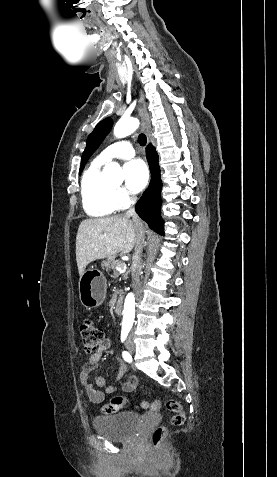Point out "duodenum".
Returning <instances> with one entry per match:
<instances>
[{
	"label": "duodenum",
	"instance_id": "410a0bca",
	"mask_svg": "<svg viewBox=\"0 0 277 477\" xmlns=\"http://www.w3.org/2000/svg\"><path fill=\"white\" fill-rule=\"evenodd\" d=\"M115 313L121 315L123 312V301L119 298L114 305Z\"/></svg>",
	"mask_w": 277,
	"mask_h": 477
}]
</instances>
